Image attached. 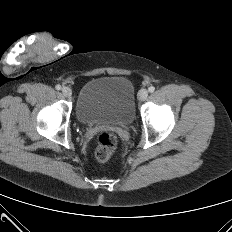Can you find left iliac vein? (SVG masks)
I'll return each mask as SVG.
<instances>
[{
	"label": "left iliac vein",
	"mask_w": 232,
	"mask_h": 232,
	"mask_svg": "<svg viewBox=\"0 0 232 232\" xmlns=\"http://www.w3.org/2000/svg\"><path fill=\"white\" fill-rule=\"evenodd\" d=\"M148 97V91L146 89H141L138 93L139 101H145Z\"/></svg>",
	"instance_id": "left-iliac-vein-1"
}]
</instances>
